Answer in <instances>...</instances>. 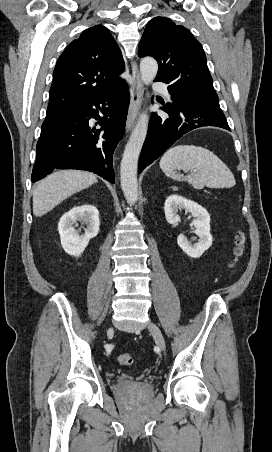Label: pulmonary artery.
<instances>
[{
	"instance_id": "1",
	"label": "pulmonary artery",
	"mask_w": 272,
	"mask_h": 452,
	"mask_svg": "<svg viewBox=\"0 0 272 452\" xmlns=\"http://www.w3.org/2000/svg\"><path fill=\"white\" fill-rule=\"evenodd\" d=\"M152 88L154 91L162 92V93L168 95L166 83H164V82H161V81L154 82Z\"/></svg>"
}]
</instances>
